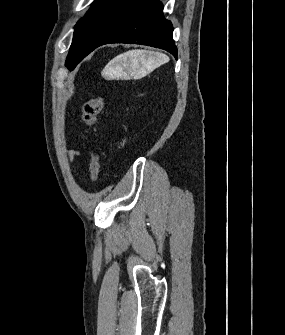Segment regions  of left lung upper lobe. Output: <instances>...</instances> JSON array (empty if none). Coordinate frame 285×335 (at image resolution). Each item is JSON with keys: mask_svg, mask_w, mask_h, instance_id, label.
<instances>
[{"mask_svg": "<svg viewBox=\"0 0 285 335\" xmlns=\"http://www.w3.org/2000/svg\"><path fill=\"white\" fill-rule=\"evenodd\" d=\"M111 0H94L92 7L86 15L75 25L73 41L66 60V66L72 70L79 63V53L82 41L89 27L92 25L98 14Z\"/></svg>", "mask_w": 285, "mask_h": 335, "instance_id": "left-lung-upper-lobe-1", "label": "left lung upper lobe"}]
</instances>
